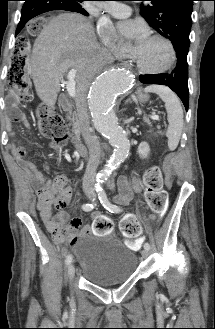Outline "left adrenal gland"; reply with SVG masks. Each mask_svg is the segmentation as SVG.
<instances>
[{
    "label": "left adrenal gland",
    "instance_id": "obj_1",
    "mask_svg": "<svg viewBox=\"0 0 215 329\" xmlns=\"http://www.w3.org/2000/svg\"><path fill=\"white\" fill-rule=\"evenodd\" d=\"M127 103H132L131 98H129L125 101V104H127Z\"/></svg>",
    "mask_w": 215,
    "mask_h": 329
}]
</instances>
